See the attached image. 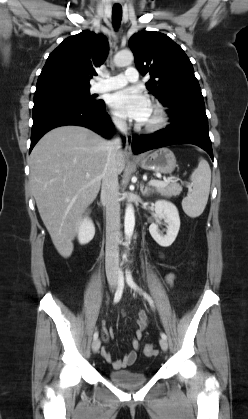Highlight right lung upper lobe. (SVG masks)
I'll return each instance as SVG.
<instances>
[{"mask_svg":"<svg viewBox=\"0 0 248 419\" xmlns=\"http://www.w3.org/2000/svg\"><path fill=\"white\" fill-rule=\"evenodd\" d=\"M109 51L106 37L85 30L65 39L48 57L38 78L36 92L85 89L104 63Z\"/></svg>","mask_w":248,"mask_h":419,"instance_id":"1","label":"right lung upper lobe"}]
</instances>
